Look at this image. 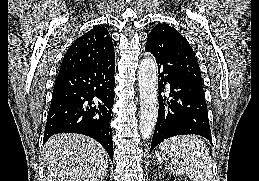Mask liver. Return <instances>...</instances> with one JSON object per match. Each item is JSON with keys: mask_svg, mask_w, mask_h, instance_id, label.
<instances>
[{"mask_svg": "<svg viewBox=\"0 0 259 181\" xmlns=\"http://www.w3.org/2000/svg\"><path fill=\"white\" fill-rule=\"evenodd\" d=\"M108 161L101 144L81 134L54 135L42 152L45 181H102Z\"/></svg>", "mask_w": 259, "mask_h": 181, "instance_id": "liver-1", "label": "liver"}]
</instances>
